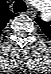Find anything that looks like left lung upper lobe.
I'll return each instance as SVG.
<instances>
[{
    "label": "left lung upper lobe",
    "instance_id": "left-lung-upper-lobe-1",
    "mask_svg": "<svg viewBox=\"0 0 51 74\" xmlns=\"http://www.w3.org/2000/svg\"><path fill=\"white\" fill-rule=\"evenodd\" d=\"M35 21H36L39 25H42V24H43V22H42V20H41L40 18H36Z\"/></svg>",
    "mask_w": 51,
    "mask_h": 74
}]
</instances>
